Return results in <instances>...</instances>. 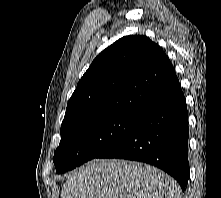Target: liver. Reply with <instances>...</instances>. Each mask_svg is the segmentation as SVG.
<instances>
[{
  "label": "liver",
  "instance_id": "obj_1",
  "mask_svg": "<svg viewBox=\"0 0 221 198\" xmlns=\"http://www.w3.org/2000/svg\"><path fill=\"white\" fill-rule=\"evenodd\" d=\"M61 198H181L178 183L151 165L94 159L64 183Z\"/></svg>",
  "mask_w": 221,
  "mask_h": 198
}]
</instances>
